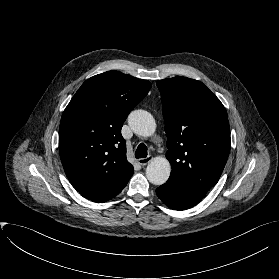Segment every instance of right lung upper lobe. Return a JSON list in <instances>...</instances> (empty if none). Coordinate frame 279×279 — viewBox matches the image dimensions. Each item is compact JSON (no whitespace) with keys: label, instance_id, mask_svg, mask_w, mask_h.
Returning a JSON list of instances; mask_svg holds the SVG:
<instances>
[{"label":"right lung upper lobe","instance_id":"1","mask_svg":"<svg viewBox=\"0 0 279 279\" xmlns=\"http://www.w3.org/2000/svg\"><path fill=\"white\" fill-rule=\"evenodd\" d=\"M151 83L118 71L89 78L64 110L59 151L67 178L93 202L112 199L134 169L126 158L121 128Z\"/></svg>","mask_w":279,"mask_h":279}]
</instances>
